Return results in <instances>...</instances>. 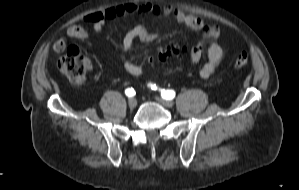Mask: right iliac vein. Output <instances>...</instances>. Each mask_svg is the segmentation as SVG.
Returning <instances> with one entry per match:
<instances>
[{"instance_id": "1", "label": "right iliac vein", "mask_w": 299, "mask_h": 190, "mask_svg": "<svg viewBox=\"0 0 299 190\" xmlns=\"http://www.w3.org/2000/svg\"><path fill=\"white\" fill-rule=\"evenodd\" d=\"M128 105H129L130 108H135L136 105H137V100H136V98H130V99L128 100Z\"/></svg>"}]
</instances>
